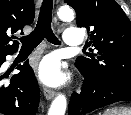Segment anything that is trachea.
Here are the masks:
<instances>
[{"label":"trachea","instance_id":"1","mask_svg":"<svg viewBox=\"0 0 131 115\" xmlns=\"http://www.w3.org/2000/svg\"><path fill=\"white\" fill-rule=\"evenodd\" d=\"M52 8L53 0H44L42 2L35 29L29 35L20 38L22 49L33 50L43 39H47V41L53 44H60L51 28Z\"/></svg>","mask_w":131,"mask_h":115}]
</instances>
